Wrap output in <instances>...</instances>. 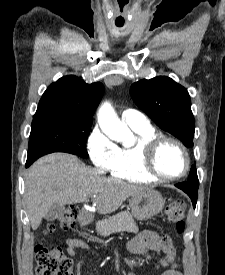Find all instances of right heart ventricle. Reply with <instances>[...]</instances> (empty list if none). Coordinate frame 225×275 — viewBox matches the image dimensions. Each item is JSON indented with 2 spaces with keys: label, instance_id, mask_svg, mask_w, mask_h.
I'll list each match as a JSON object with an SVG mask.
<instances>
[{
  "label": "right heart ventricle",
  "instance_id": "1",
  "mask_svg": "<svg viewBox=\"0 0 225 275\" xmlns=\"http://www.w3.org/2000/svg\"><path fill=\"white\" fill-rule=\"evenodd\" d=\"M131 129L137 135V143L133 146L118 148L117 158L110 168V174L119 179L133 183H152L156 180L149 176L141 166L140 146L143 141L155 137L158 132L151 126H135Z\"/></svg>",
  "mask_w": 225,
  "mask_h": 275
}]
</instances>
